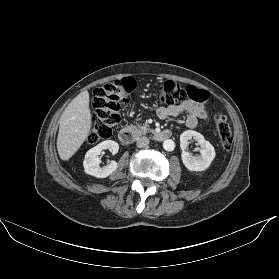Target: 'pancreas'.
Returning a JSON list of instances; mask_svg holds the SVG:
<instances>
[{
    "mask_svg": "<svg viewBox=\"0 0 279 279\" xmlns=\"http://www.w3.org/2000/svg\"><path fill=\"white\" fill-rule=\"evenodd\" d=\"M134 128H136L137 130H139L141 133H146V132L149 130L148 124H147V123H145V124H143V125H137V126H135Z\"/></svg>",
    "mask_w": 279,
    "mask_h": 279,
    "instance_id": "1",
    "label": "pancreas"
}]
</instances>
